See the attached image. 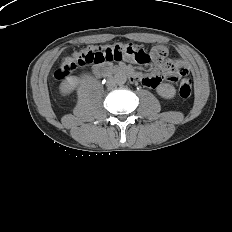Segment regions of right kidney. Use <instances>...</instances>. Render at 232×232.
Here are the masks:
<instances>
[{"instance_id":"ca27d5eb","label":"right kidney","mask_w":232,"mask_h":232,"mask_svg":"<svg viewBox=\"0 0 232 232\" xmlns=\"http://www.w3.org/2000/svg\"><path fill=\"white\" fill-rule=\"evenodd\" d=\"M80 81L76 77H69L60 85V92L63 95L70 94L78 85Z\"/></svg>"}]
</instances>
